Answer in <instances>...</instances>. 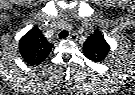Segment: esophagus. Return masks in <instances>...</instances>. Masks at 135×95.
I'll return each instance as SVG.
<instances>
[{"mask_svg":"<svg viewBox=\"0 0 135 95\" xmlns=\"http://www.w3.org/2000/svg\"><path fill=\"white\" fill-rule=\"evenodd\" d=\"M67 39L71 41H76L78 39V35L73 33L69 35Z\"/></svg>","mask_w":135,"mask_h":95,"instance_id":"obj_1","label":"esophagus"}]
</instances>
